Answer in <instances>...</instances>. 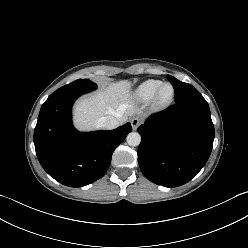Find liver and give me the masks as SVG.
Returning a JSON list of instances; mask_svg holds the SVG:
<instances>
[{
    "label": "liver",
    "mask_w": 248,
    "mask_h": 248,
    "mask_svg": "<svg viewBox=\"0 0 248 248\" xmlns=\"http://www.w3.org/2000/svg\"><path fill=\"white\" fill-rule=\"evenodd\" d=\"M131 86L130 81L121 80L79 99L74 107L75 125L80 130L96 129L101 117L120 114V124H123L128 116L140 113L135 105L129 104Z\"/></svg>",
    "instance_id": "obj_1"
}]
</instances>
